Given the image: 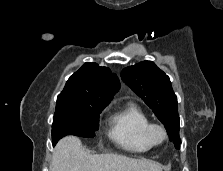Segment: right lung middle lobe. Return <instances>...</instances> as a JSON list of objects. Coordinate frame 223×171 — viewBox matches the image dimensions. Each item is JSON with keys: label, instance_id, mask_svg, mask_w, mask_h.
I'll use <instances>...</instances> for the list:
<instances>
[{"label": "right lung middle lobe", "instance_id": "dd1d6c3e", "mask_svg": "<svg viewBox=\"0 0 223 171\" xmlns=\"http://www.w3.org/2000/svg\"><path fill=\"white\" fill-rule=\"evenodd\" d=\"M105 106L57 103L52 124L53 145L66 135L94 137L99 128V114Z\"/></svg>", "mask_w": 223, "mask_h": 171}]
</instances>
